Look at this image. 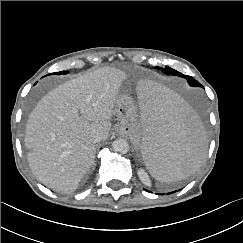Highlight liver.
<instances>
[{"label":"liver","mask_w":243,"mask_h":243,"mask_svg":"<svg viewBox=\"0 0 243 243\" xmlns=\"http://www.w3.org/2000/svg\"><path fill=\"white\" fill-rule=\"evenodd\" d=\"M126 74L104 67L46 94L29 115L25 146L34 176L56 192L71 193L94 165L93 135L107 139ZM171 156V155H170Z\"/></svg>","instance_id":"obj_1"}]
</instances>
